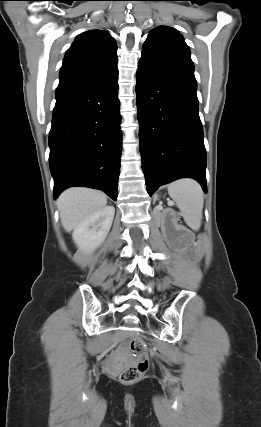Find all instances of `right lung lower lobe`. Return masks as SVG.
Listing matches in <instances>:
<instances>
[{
  "label": "right lung lower lobe",
  "instance_id": "1",
  "mask_svg": "<svg viewBox=\"0 0 261 427\" xmlns=\"http://www.w3.org/2000/svg\"><path fill=\"white\" fill-rule=\"evenodd\" d=\"M118 71L56 95L49 134L54 198L86 186L117 200L122 150Z\"/></svg>",
  "mask_w": 261,
  "mask_h": 427
}]
</instances>
